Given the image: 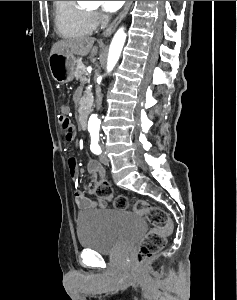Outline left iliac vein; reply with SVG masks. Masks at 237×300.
<instances>
[{"instance_id":"obj_1","label":"left iliac vein","mask_w":237,"mask_h":300,"mask_svg":"<svg viewBox=\"0 0 237 300\" xmlns=\"http://www.w3.org/2000/svg\"><path fill=\"white\" fill-rule=\"evenodd\" d=\"M102 147H104V145ZM99 159H100L101 163H103L104 165H109L110 164V161H109V159H108V157L105 153H102L100 155Z\"/></svg>"}]
</instances>
